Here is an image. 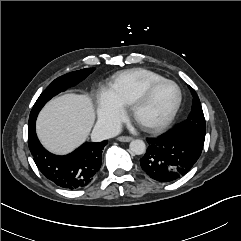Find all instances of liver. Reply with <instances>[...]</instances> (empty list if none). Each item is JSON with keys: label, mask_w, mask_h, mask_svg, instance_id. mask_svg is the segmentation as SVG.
Listing matches in <instances>:
<instances>
[{"label": "liver", "mask_w": 241, "mask_h": 241, "mask_svg": "<svg viewBox=\"0 0 241 241\" xmlns=\"http://www.w3.org/2000/svg\"><path fill=\"white\" fill-rule=\"evenodd\" d=\"M94 120L93 105L87 95L65 94L46 104L38 116L36 130L49 151L66 154L87 139Z\"/></svg>", "instance_id": "1"}]
</instances>
